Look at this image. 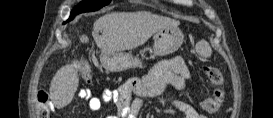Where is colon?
Listing matches in <instances>:
<instances>
[{"label":"colon","mask_w":273,"mask_h":118,"mask_svg":"<svg viewBox=\"0 0 273 118\" xmlns=\"http://www.w3.org/2000/svg\"><path fill=\"white\" fill-rule=\"evenodd\" d=\"M76 65L82 79L87 83L92 82L93 73L89 66L83 61H78ZM203 70L206 76L209 78V80L216 87L213 92V95L204 101L203 110L209 113H213L219 110L224 101L223 76L218 69L212 66H204ZM52 106L53 104L50 100L48 92L45 90H40L38 92L37 106L38 116L40 118H48Z\"/></svg>","instance_id":"colon-1"}]
</instances>
